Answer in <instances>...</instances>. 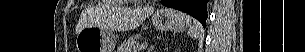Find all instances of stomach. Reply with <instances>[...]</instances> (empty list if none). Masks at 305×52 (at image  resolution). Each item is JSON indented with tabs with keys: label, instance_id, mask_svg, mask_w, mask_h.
<instances>
[{
	"label": "stomach",
	"instance_id": "obj_1",
	"mask_svg": "<svg viewBox=\"0 0 305 52\" xmlns=\"http://www.w3.org/2000/svg\"><path fill=\"white\" fill-rule=\"evenodd\" d=\"M152 24L159 31H183L191 25V17L173 9H161L152 16ZM115 37L99 26L82 29L76 37L78 52H113Z\"/></svg>",
	"mask_w": 305,
	"mask_h": 52
}]
</instances>
